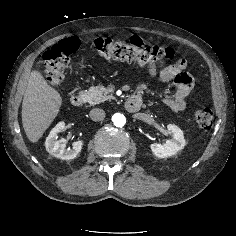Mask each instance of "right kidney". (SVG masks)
I'll return each instance as SVG.
<instances>
[{
  "instance_id": "ca27d5eb",
  "label": "right kidney",
  "mask_w": 236,
  "mask_h": 236,
  "mask_svg": "<svg viewBox=\"0 0 236 236\" xmlns=\"http://www.w3.org/2000/svg\"><path fill=\"white\" fill-rule=\"evenodd\" d=\"M66 129L64 122H59L49 133L46 138L45 147L46 150L54 157L62 160H70L77 157L80 153L83 145L82 140H78L72 144V148L66 149V139H58V134L64 132Z\"/></svg>"
}]
</instances>
